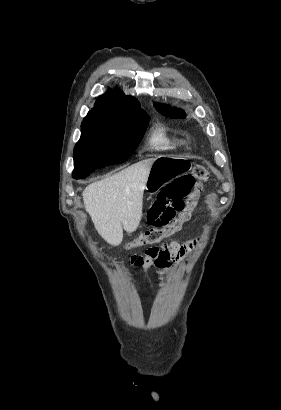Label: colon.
Returning <instances> with one entry per match:
<instances>
[{
    "mask_svg": "<svg viewBox=\"0 0 281 410\" xmlns=\"http://www.w3.org/2000/svg\"><path fill=\"white\" fill-rule=\"evenodd\" d=\"M208 178V170L203 166H196L191 174L176 179L162 189L148 211L151 227L129 243L128 248L158 243L177 231L190 217L199 197L201 184Z\"/></svg>",
    "mask_w": 281,
    "mask_h": 410,
    "instance_id": "colon-1",
    "label": "colon"
}]
</instances>
